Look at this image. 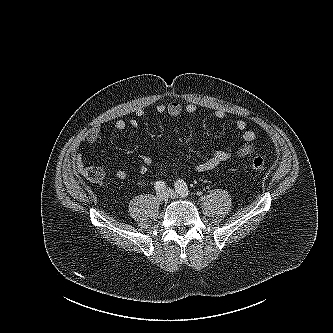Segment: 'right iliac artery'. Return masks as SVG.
<instances>
[{"label": "right iliac artery", "mask_w": 333, "mask_h": 333, "mask_svg": "<svg viewBox=\"0 0 333 333\" xmlns=\"http://www.w3.org/2000/svg\"><path fill=\"white\" fill-rule=\"evenodd\" d=\"M154 188H155L156 191H161V190H164L166 188V184L163 181H157L154 184Z\"/></svg>", "instance_id": "82829eb1"}]
</instances>
